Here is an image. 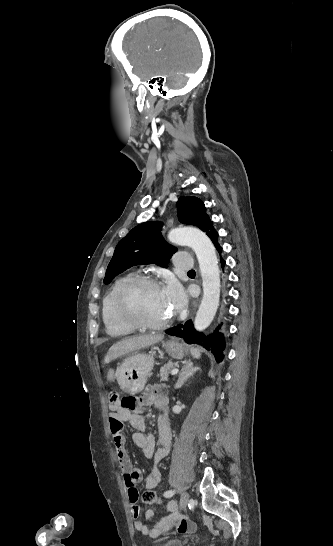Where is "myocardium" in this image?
I'll return each instance as SVG.
<instances>
[{
    "instance_id": "1",
    "label": "myocardium",
    "mask_w": 333,
    "mask_h": 546,
    "mask_svg": "<svg viewBox=\"0 0 333 546\" xmlns=\"http://www.w3.org/2000/svg\"><path fill=\"white\" fill-rule=\"evenodd\" d=\"M146 287H160L159 282L152 277L139 276L128 282L119 292L117 298V310L120 317L134 329L140 330H160L168 327L173 316L162 322H149L143 319L135 307V298L137 294Z\"/></svg>"
}]
</instances>
